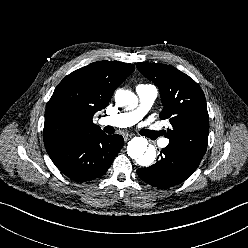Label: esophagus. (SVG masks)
Here are the masks:
<instances>
[{
	"mask_svg": "<svg viewBox=\"0 0 248 248\" xmlns=\"http://www.w3.org/2000/svg\"><path fill=\"white\" fill-rule=\"evenodd\" d=\"M132 137L131 134L124 135V140L127 142Z\"/></svg>",
	"mask_w": 248,
	"mask_h": 248,
	"instance_id": "esophagus-1",
	"label": "esophagus"
}]
</instances>
